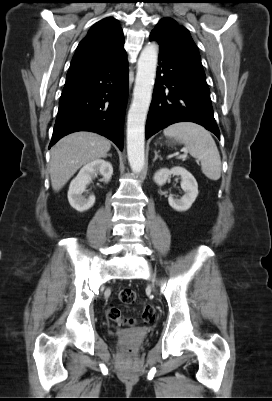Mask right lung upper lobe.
<instances>
[{
  "label": "right lung upper lobe",
  "instance_id": "1",
  "mask_svg": "<svg viewBox=\"0 0 272 401\" xmlns=\"http://www.w3.org/2000/svg\"><path fill=\"white\" fill-rule=\"evenodd\" d=\"M123 31L112 17L97 22L79 43L72 58L66 80L85 75L124 50Z\"/></svg>",
  "mask_w": 272,
  "mask_h": 401
}]
</instances>
